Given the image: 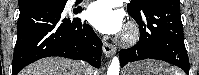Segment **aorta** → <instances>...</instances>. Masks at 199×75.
<instances>
[{"label": "aorta", "instance_id": "762f6f07", "mask_svg": "<svg viewBox=\"0 0 199 75\" xmlns=\"http://www.w3.org/2000/svg\"><path fill=\"white\" fill-rule=\"evenodd\" d=\"M120 62L118 57H113L111 64L108 67L107 75H119Z\"/></svg>", "mask_w": 199, "mask_h": 75}]
</instances>
